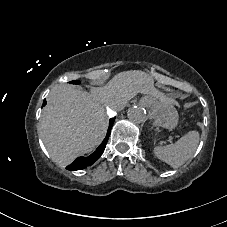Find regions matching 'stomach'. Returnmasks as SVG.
I'll return each mask as SVG.
<instances>
[{
    "label": "stomach",
    "instance_id": "stomach-1",
    "mask_svg": "<svg viewBox=\"0 0 227 227\" xmlns=\"http://www.w3.org/2000/svg\"><path fill=\"white\" fill-rule=\"evenodd\" d=\"M154 122L157 126L173 129L178 124V112L174 106L150 99Z\"/></svg>",
    "mask_w": 227,
    "mask_h": 227
}]
</instances>
